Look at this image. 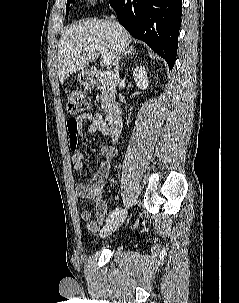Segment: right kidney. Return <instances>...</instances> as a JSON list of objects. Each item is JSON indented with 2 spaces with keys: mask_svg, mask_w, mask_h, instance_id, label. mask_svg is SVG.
Segmentation results:
<instances>
[{
  "mask_svg": "<svg viewBox=\"0 0 239 303\" xmlns=\"http://www.w3.org/2000/svg\"><path fill=\"white\" fill-rule=\"evenodd\" d=\"M133 78L134 81L136 83V85L138 86V88L140 89H147L149 86V80L147 77V73L144 67L142 66H137L134 70H133Z\"/></svg>",
  "mask_w": 239,
  "mask_h": 303,
  "instance_id": "obj_1",
  "label": "right kidney"
}]
</instances>
